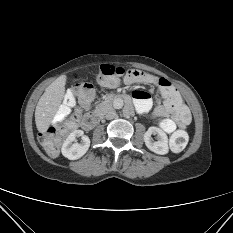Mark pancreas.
Instances as JSON below:
<instances>
[{
  "label": "pancreas",
  "mask_w": 233,
  "mask_h": 233,
  "mask_svg": "<svg viewBox=\"0 0 233 233\" xmlns=\"http://www.w3.org/2000/svg\"><path fill=\"white\" fill-rule=\"evenodd\" d=\"M110 105V98H106L104 101L99 103L94 110V113H103Z\"/></svg>",
  "instance_id": "pancreas-1"
}]
</instances>
